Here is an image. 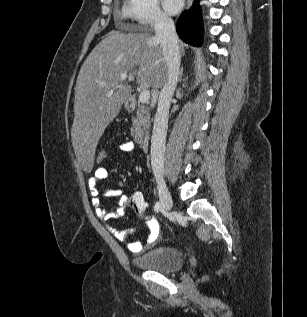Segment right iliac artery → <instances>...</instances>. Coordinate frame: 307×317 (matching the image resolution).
<instances>
[{"mask_svg":"<svg viewBox=\"0 0 307 317\" xmlns=\"http://www.w3.org/2000/svg\"><path fill=\"white\" fill-rule=\"evenodd\" d=\"M161 208H162V206H161V204H160V202H156L155 203V206H154V211L156 212V213H158L159 211H161Z\"/></svg>","mask_w":307,"mask_h":317,"instance_id":"82829eb1","label":"right iliac artery"}]
</instances>
